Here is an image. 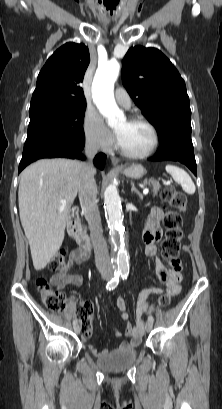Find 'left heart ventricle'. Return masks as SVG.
<instances>
[{"mask_svg": "<svg viewBox=\"0 0 222 409\" xmlns=\"http://www.w3.org/2000/svg\"><path fill=\"white\" fill-rule=\"evenodd\" d=\"M114 130L119 135V145L129 152L143 153L152 144V133L144 124L124 119L114 126Z\"/></svg>", "mask_w": 222, "mask_h": 409, "instance_id": "left-heart-ventricle-1", "label": "left heart ventricle"}]
</instances>
